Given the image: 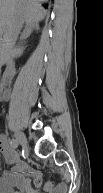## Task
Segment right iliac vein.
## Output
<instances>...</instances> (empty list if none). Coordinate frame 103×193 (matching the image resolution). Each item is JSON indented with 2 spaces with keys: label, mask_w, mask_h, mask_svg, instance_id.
Here are the masks:
<instances>
[{
  "label": "right iliac vein",
  "mask_w": 103,
  "mask_h": 193,
  "mask_svg": "<svg viewBox=\"0 0 103 193\" xmlns=\"http://www.w3.org/2000/svg\"><path fill=\"white\" fill-rule=\"evenodd\" d=\"M15 136H16V139L19 142V144L23 148H26L27 147V140H26V137L24 136V134L20 131H16Z\"/></svg>",
  "instance_id": "1"
}]
</instances>
